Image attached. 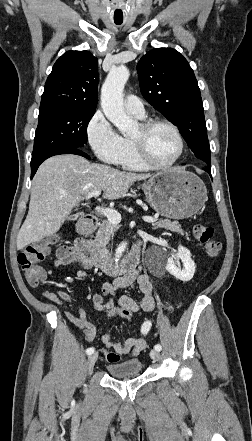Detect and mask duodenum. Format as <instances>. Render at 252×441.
I'll list each match as a JSON object with an SVG mask.
<instances>
[{
  "instance_id": "1",
  "label": "duodenum",
  "mask_w": 252,
  "mask_h": 441,
  "mask_svg": "<svg viewBox=\"0 0 252 441\" xmlns=\"http://www.w3.org/2000/svg\"><path fill=\"white\" fill-rule=\"evenodd\" d=\"M98 225V218L94 215L85 217L84 222L79 225L78 237L75 241V249L81 260L88 265L101 269L106 275L119 276L123 273L133 272L139 261L140 248L135 247L122 261L115 262L100 254L93 242L85 236Z\"/></svg>"
}]
</instances>
